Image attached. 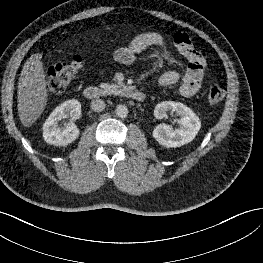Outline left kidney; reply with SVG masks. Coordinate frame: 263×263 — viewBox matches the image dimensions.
I'll list each match as a JSON object with an SVG mask.
<instances>
[{"label":"left kidney","instance_id":"1","mask_svg":"<svg viewBox=\"0 0 263 263\" xmlns=\"http://www.w3.org/2000/svg\"><path fill=\"white\" fill-rule=\"evenodd\" d=\"M168 112L179 116V128L173 129L165 123L153 130L154 139L167 148H176L191 142L201 128L199 117L186 105L180 102L165 101L156 105L154 116L157 119L168 117Z\"/></svg>","mask_w":263,"mask_h":263}]
</instances>
